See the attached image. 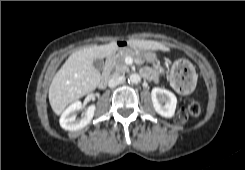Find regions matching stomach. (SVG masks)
Instances as JSON below:
<instances>
[{
  "label": "stomach",
  "instance_id": "0dacf381",
  "mask_svg": "<svg viewBox=\"0 0 245 170\" xmlns=\"http://www.w3.org/2000/svg\"><path fill=\"white\" fill-rule=\"evenodd\" d=\"M118 50L120 52L121 51H134L136 53L139 52L146 61L152 62V63H154L156 61V55L151 50H139L137 48H130V47H126V46H120ZM182 67H187V70H188L187 71V77H190L191 81L189 84L181 85V89L183 92L189 93L194 89V87L196 85V79H195V73H194L193 67L190 64L175 63L174 67L171 70V73L173 76L175 71L178 68H182Z\"/></svg>",
  "mask_w": 245,
  "mask_h": 170
}]
</instances>
